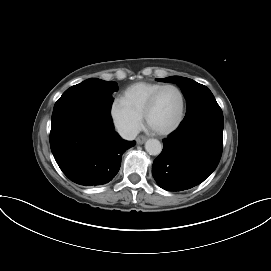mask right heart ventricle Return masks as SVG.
I'll list each match as a JSON object with an SVG mask.
<instances>
[{
	"label": "right heart ventricle",
	"mask_w": 271,
	"mask_h": 271,
	"mask_svg": "<svg viewBox=\"0 0 271 271\" xmlns=\"http://www.w3.org/2000/svg\"><path fill=\"white\" fill-rule=\"evenodd\" d=\"M162 86L163 84L154 82L134 83L122 92L121 100L128 108L142 116L148 99Z\"/></svg>",
	"instance_id": "e07e8e85"
}]
</instances>
